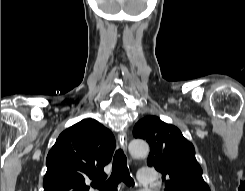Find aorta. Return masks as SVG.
I'll list each match as a JSON object with an SVG mask.
<instances>
[{
	"instance_id": "obj_1",
	"label": "aorta",
	"mask_w": 245,
	"mask_h": 191,
	"mask_svg": "<svg viewBox=\"0 0 245 191\" xmlns=\"http://www.w3.org/2000/svg\"><path fill=\"white\" fill-rule=\"evenodd\" d=\"M129 152L133 157H144L149 153V146L143 140H132L128 146Z\"/></svg>"
}]
</instances>
